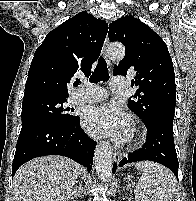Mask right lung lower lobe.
<instances>
[{"mask_svg":"<svg viewBox=\"0 0 196 201\" xmlns=\"http://www.w3.org/2000/svg\"><path fill=\"white\" fill-rule=\"evenodd\" d=\"M97 142L90 139L80 127V118L68 124L45 119L22 122L12 164V176L25 162L45 155H62L92 168Z\"/></svg>","mask_w":196,"mask_h":201,"instance_id":"obj_1","label":"right lung lower lobe"}]
</instances>
